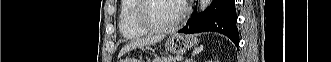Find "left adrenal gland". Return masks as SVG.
Listing matches in <instances>:
<instances>
[{"instance_id": "left-adrenal-gland-1", "label": "left adrenal gland", "mask_w": 331, "mask_h": 62, "mask_svg": "<svg viewBox=\"0 0 331 62\" xmlns=\"http://www.w3.org/2000/svg\"><path fill=\"white\" fill-rule=\"evenodd\" d=\"M194 54H195V53H194ZM194 54H193V55H194ZM191 61H192V60H187V62H191Z\"/></svg>"}]
</instances>
